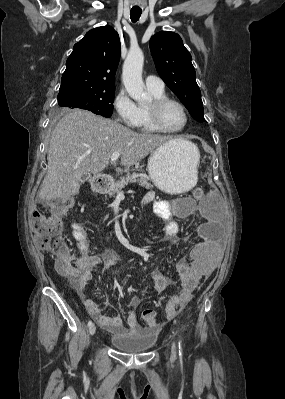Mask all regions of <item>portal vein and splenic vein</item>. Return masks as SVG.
<instances>
[{
    "label": "portal vein and splenic vein",
    "instance_id": "portal-vein-and-splenic-vein-1",
    "mask_svg": "<svg viewBox=\"0 0 285 399\" xmlns=\"http://www.w3.org/2000/svg\"><path fill=\"white\" fill-rule=\"evenodd\" d=\"M120 154L118 152H114L111 156V163L115 162L119 158ZM123 193V192H120Z\"/></svg>",
    "mask_w": 285,
    "mask_h": 399
}]
</instances>
